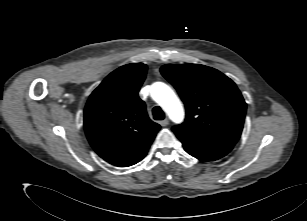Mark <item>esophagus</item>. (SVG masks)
<instances>
[{"mask_svg":"<svg viewBox=\"0 0 307 221\" xmlns=\"http://www.w3.org/2000/svg\"><path fill=\"white\" fill-rule=\"evenodd\" d=\"M168 124H169V119L168 118L160 121V125L163 126V127L167 126Z\"/></svg>","mask_w":307,"mask_h":221,"instance_id":"34e87169","label":"esophagus"}]
</instances>
